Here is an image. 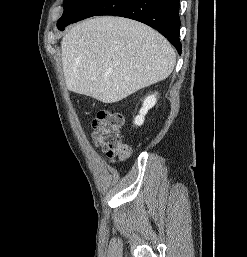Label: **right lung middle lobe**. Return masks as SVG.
<instances>
[{"mask_svg": "<svg viewBox=\"0 0 247 257\" xmlns=\"http://www.w3.org/2000/svg\"><path fill=\"white\" fill-rule=\"evenodd\" d=\"M92 0H64V13L57 22V27L70 23L77 18Z\"/></svg>", "mask_w": 247, "mask_h": 257, "instance_id": "right-lung-middle-lobe-1", "label": "right lung middle lobe"}]
</instances>
